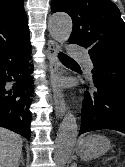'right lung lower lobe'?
Segmentation results:
<instances>
[{
    "instance_id": "1",
    "label": "right lung lower lobe",
    "mask_w": 125,
    "mask_h": 167,
    "mask_svg": "<svg viewBox=\"0 0 125 167\" xmlns=\"http://www.w3.org/2000/svg\"><path fill=\"white\" fill-rule=\"evenodd\" d=\"M31 59L30 40L0 50V126L26 139L31 135ZM8 82H14L12 87L7 86Z\"/></svg>"
}]
</instances>
